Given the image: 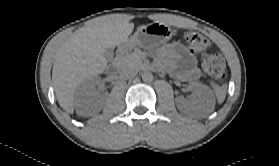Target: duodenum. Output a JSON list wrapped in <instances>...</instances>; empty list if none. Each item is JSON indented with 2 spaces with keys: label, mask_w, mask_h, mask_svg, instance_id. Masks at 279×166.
I'll return each mask as SVG.
<instances>
[{
  "label": "duodenum",
  "mask_w": 279,
  "mask_h": 166,
  "mask_svg": "<svg viewBox=\"0 0 279 166\" xmlns=\"http://www.w3.org/2000/svg\"><path fill=\"white\" fill-rule=\"evenodd\" d=\"M131 48H132V44L127 42V43H124L118 49L113 62L109 66V71L111 74H115V73L119 72V70L121 69V67L123 65L124 56Z\"/></svg>",
  "instance_id": "1"
}]
</instances>
